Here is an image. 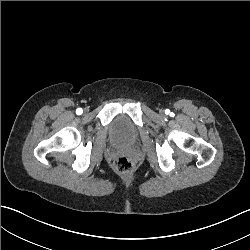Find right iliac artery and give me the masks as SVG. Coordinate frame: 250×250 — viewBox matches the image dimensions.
Segmentation results:
<instances>
[{"instance_id":"1","label":"right iliac artery","mask_w":250,"mask_h":250,"mask_svg":"<svg viewBox=\"0 0 250 250\" xmlns=\"http://www.w3.org/2000/svg\"><path fill=\"white\" fill-rule=\"evenodd\" d=\"M82 113H83L82 108H78V109L76 110V114H77V115H81Z\"/></svg>"}]
</instances>
